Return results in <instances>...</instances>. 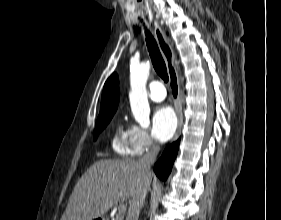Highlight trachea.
Segmentation results:
<instances>
[{
	"instance_id": "obj_1",
	"label": "trachea",
	"mask_w": 281,
	"mask_h": 220,
	"mask_svg": "<svg viewBox=\"0 0 281 220\" xmlns=\"http://www.w3.org/2000/svg\"><path fill=\"white\" fill-rule=\"evenodd\" d=\"M146 43L155 71L165 82H167L169 77L166 64L161 56L156 41L149 31H146Z\"/></svg>"
}]
</instances>
